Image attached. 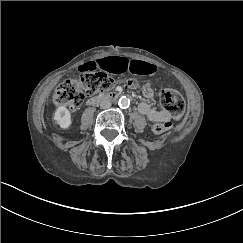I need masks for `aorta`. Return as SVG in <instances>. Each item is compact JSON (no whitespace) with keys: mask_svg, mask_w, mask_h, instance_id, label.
<instances>
[{"mask_svg":"<svg viewBox=\"0 0 243 243\" xmlns=\"http://www.w3.org/2000/svg\"><path fill=\"white\" fill-rule=\"evenodd\" d=\"M129 104V99L126 96H121L119 99V105L126 107Z\"/></svg>","mask_w":243,"mask_h":243,"instance_id":"aorta-1","label":"aorta"}]
</instances>
